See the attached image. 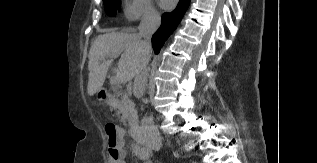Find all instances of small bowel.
<instances>
[{"label":"small bowel","instance_id":"c3829d8e","mask_svg":"<svg viewBox=\"0 0 317 163\" xmlns=\"http://www.w3.org/2000/svg\"><path fill=\"white\" fill-rule=\"evenodd\" d=\"M121 136H123V132H121ZM131 150L132 153L143 163H154L150 160V152L147 148L141 147L138 144H133L131 146ZM120 163H128V161L123 158V160H120Z\"/></svg>","mask_w":317,"mask_h":163}]
</instances>
